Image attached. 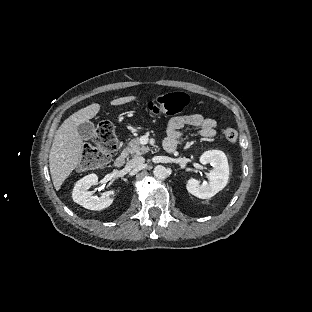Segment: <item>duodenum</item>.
<instances>
[{"label":"duodenum","instance_id":"1","mask_svg":"<svg viewBox=\"0 0 312 312\" xmlns=\"http://www.w3.org/2000/svg\"><path fill=\"white\" fill-rule=\"evenodd\" d=\"M164 149L169 153H173L176 151L177 147L175 144L172 143H164ZM126 159H127L126 152L118 154L114 160L115 167L122 168L126 163Z\"/></svg>","mask_w":312,"mask_h":312}]
</instances>
